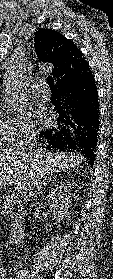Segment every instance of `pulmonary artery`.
I'll return each mask as SVG.
<instances>
[{"label": "pulmonary artery", "mask_w": 113, "mask_h": 279, "mask_svg": "<svg viewBox=\"0 0 113 279\" xmlns=\"http://www.w3.org/2000/svg\"><path fill=\"white\" fill-rule=\"evenodd\" d=\"M34 88L38 94L42 95L45 99H49L50 91L45 82H43V81L35 82Z\"/></svg>", "instance_id": "pulmonary-artery-1"}]
</instances>
